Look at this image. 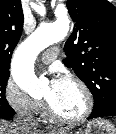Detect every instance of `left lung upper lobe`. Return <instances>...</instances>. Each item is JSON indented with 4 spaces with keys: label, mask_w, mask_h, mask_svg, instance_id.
<instances>
[{
    "label": "left lung upper lobe",
    "mask_w": 116,
    "mask_h": 134,
    "mask_svg": "<svg viewBox=\"0 0 116 134\" xmlns=\"http://www.w3.org/2000/svg\"><path fill=\"white\" fill-rule=\"evenodd\" d=\"M74 30L66 44V67L86 84L94 108L116 104V7L107 0H67Z\"/></svg>",
    "instance_id": "5c2ea615"
}]
</instances>
